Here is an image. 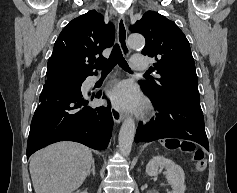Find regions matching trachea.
Instances as JSON below:
<instances>
[{"instance_id":"3493384b","label":"trachea","mask_w":237,"mask_h":193,"mask_svg":"<svg viewBox=\"0 0 237 193\" xmlns=\"http://www.w3.org/2000/svg\"><path fill=\"white\" fill-rule=\"evenodd\" d=\"M116 64H118L123 70L131 72L118 44L114 46L109 59L104 63H96L94 68L101 70L102 74H107ZM145 75L149 76V73H146Z\"/></svg>"}]
</instances>
